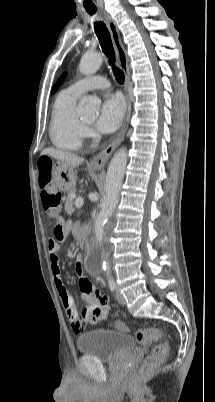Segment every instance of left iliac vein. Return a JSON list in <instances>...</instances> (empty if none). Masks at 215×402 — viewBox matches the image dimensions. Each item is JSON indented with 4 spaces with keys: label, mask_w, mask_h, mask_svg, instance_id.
Instances as JSON below:
<instances>
[{
    "label": "left iliac vein",
    "mask_w": 215,
    "mask_h": 402,
    "mask_svg": "<svg viewBox=\"0 0 215 402\" xmlns=\"http://www.w3.org/2000/svg\"><path fill=\"white\" fill-rule=\"evenodd\" d=\"M116 299L121 305L126 304V300H125L124 296L119 291L116 292Z\"/></svg>",
    "instance_id": "obj_1"
}]
</instances>
